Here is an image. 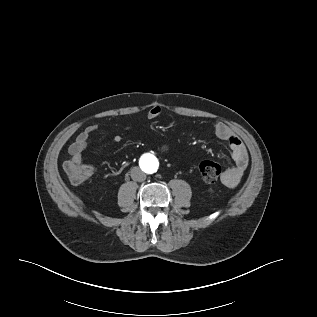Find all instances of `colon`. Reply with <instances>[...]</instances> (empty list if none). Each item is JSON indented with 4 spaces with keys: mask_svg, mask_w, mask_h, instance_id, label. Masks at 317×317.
Masks as SVG:
<instances>
[{
    "mask_svg": "<svg viewBox=\"0 0 317 317\" xmlns=\"http://www.w3.org/2000/svg\"><path fill=\"white\" fill-rule=\"evenodd\" d=\"M65 170L69 180L73 184L84 183L93 173V168L90 165L73 161H67L65 163ZM199 173L204 182L213 183L221 174V166L215 161L206 160L200 163Z\"/></svg>",
    "mask_w": 317,
    "mask_h": 317,
    "instance_id": "1",
    "label": "colon"
}]
</instances>
